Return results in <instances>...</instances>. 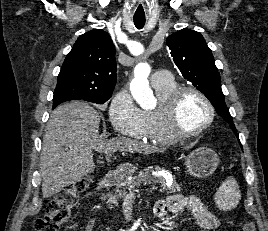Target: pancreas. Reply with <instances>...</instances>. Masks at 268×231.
I'll use <instances>...</instances> for the list:
<instances>
[{"label":"pancreas","mask_w":268,"mask_h":231,"mask_svg":"<svg viewBox=\"0 0 268 231\" xmlns=\"http://www.w3.org/2000/svg\"><path fill=\"white\" fill-rule=\"evenodd\" d=\"M161 170L160 167H148L141 171L137 176H134L131 180H125L116 184V189L114 192L109 193L107 205L112 208L113 205H117V202L120 198H123L127 195L128 191L134 190L136 186L148 185V184H157L160 186L161 191H168L169 193H176L181 191V186L176 182L175 178L169 177L167 179L163 177L154 178L151 176L153 171ZM167 180H171V185L167 184ZM154 187L153 189H156Z\"/></svg>","instance_id":"obj_1"}]
</instances>
